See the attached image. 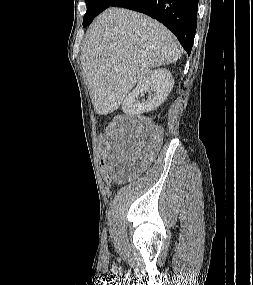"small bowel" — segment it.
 I'll list each match as a JSON object with an SVG mask.
<instances>
[{"label":"small bowel","instance_id":"1","mask_svg":"<svg viewBox=\"0 0 253 285\" xmlns=\"http://www.w3.org/2000/svg\"><path fill=\"white\" fill-rule=\"evenodd\" d=\"M118 153H121L123 155H129L133 152V145L129 144V143H122L118 146H115L114 148ZM113 150V146L111 145V151ZM111 161H112V157H110Z\"/></svg>","mask_w":253,"mask_h":285}]
</instances>
